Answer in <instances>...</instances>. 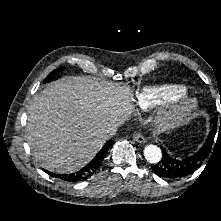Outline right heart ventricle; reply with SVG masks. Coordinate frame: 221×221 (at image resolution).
<instances>
[{
  "mask_svg": "<svg viewBox=\"0 0 221 221\" xmlns=\"http://www.w3.org/2000/svg\"><path fill=\"white\" fill-rule=\"evenodd\" d=\"M186 93V87L180 85L144 87L135 94L134 105L140 111H149L168 100H178Z\"/></svg>",
  "mask_w": 221,
  "mask_h": 221,
  "instance_id": "1",
  "label": "right heart ventricle"
}]
</instances>
